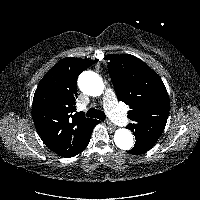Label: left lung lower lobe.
I'll list each match as a JSON object with an SVG mask.
<instances>
[{"label":"left lung lower lobe","mask_w":200,"mask_h":200,"mask_svg":"<svg viewBox=\"0 0 200 200\" xmlns=\"http://www.w3.org/2000/svg\"><path fill=\"white\" fill-rule=\"evenodd\" d=\"M152 146L153 145L151 143H148V142L136 141L133 149H131L128 152L132 153V154H142V153H145L148 150H150L152 148Z\"/></svg>","instance_id":"obj_1"}]
</instances>
